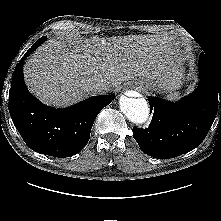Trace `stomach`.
Instances as JSON below:
<instances>
[{"label":"stomach","mask_w":221,"mask_h":221,"mask_svg":"<svg viewBox=\"0 0 221 221\" xmlns=\"http://www.w3.org/2000/svg\"><path fill=\"white\" fill-rule=\"evenodd\" d=\"M176 48V61L173 67L165 72L159 78L153 80L148 78H139L134 80V84L139 89H152L157 90L160 93H164L168 98L175 99L179 96L177 91L183 84V74H182V57L180 51V42L176 41L174 44Z\"/></svg>","instance_id":"stomach-1"}]
</instances>
